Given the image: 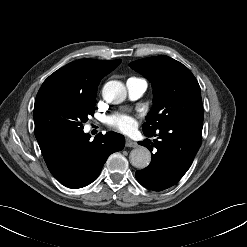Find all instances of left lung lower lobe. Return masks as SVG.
Instances as JSON below:
<instances>
[{
    "label": "left lung lower lobe",
    "instance_id": "obj_1",
    "mask_svg": "<svg viewBox=\"0 0 247 247\" xmlns=\"http://www.w3.org/2000/svg\"><path fill=\"white\" fill-rule=\"evenodd\" d=\"M203 123L179 120L169 123L147 137H157L154 142H139L152 153L145 169L136 171L138 182L144 187L162 191L175 185L191 166L202 141Z\"/></svg>",
    "mask_w": 247,
    "mask_h": 247
}]
</instances>
